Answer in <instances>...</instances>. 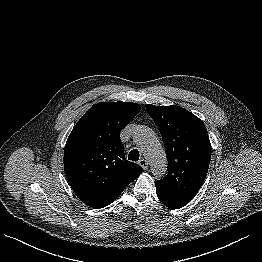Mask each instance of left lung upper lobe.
<instances>
[{"label":"left lung upper lobe","mask_w":262,"mask_h":262,"mask_svg":"<svg viewBox=\"0 0 262 262\" xmlns=\"http://www.w3.org/2000/svg\"><path fill=\"white\" fill-rule=\"evenodd\" d=\"M159 128L168 158V174L155 181L156 192L189 203L202 186L211 159V144L204 123L179 106L147 105Z\"/></svg>","instance_id":"5c2ea615"}]
</instances>
